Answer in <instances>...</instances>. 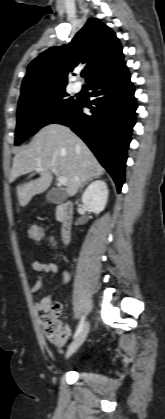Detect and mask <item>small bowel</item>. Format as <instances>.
<instances>
[{
	"mask_svg": "<svg viewBox=\"0 0 165 419\" xmlns=\"http://www.w3.org/2000/svg\"><path fill=\"white\" fill-rule=\"evenodd\" d=\"M32 269L35 273V282L31 288V292L36 293L42 288L43 276L45 274L56 273L59 270V266L55 262H52V261L43 263L38 260H35L32 263ZM69 281H70L69 272L64 268H61V280L57 284H55L52 288L64 286ZM50 302H51L50 295H45L40 300L35 302V308L37 311L45 313L48 311Z\"/></svg>",
	"mask_w": 165,
	"mask_h": 419,
	"instance_id": "small-bowel-1",
	"label": "small bowel"
}]
</instances>
